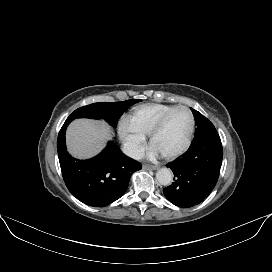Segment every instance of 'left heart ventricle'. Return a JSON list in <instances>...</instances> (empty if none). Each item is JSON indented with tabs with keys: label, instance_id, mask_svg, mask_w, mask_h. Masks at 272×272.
Segmentation results:
<instances>
[{
	"label": "left heart ventricle",
	"instance_id": "obj_1",
	"mask_svg": "<svg viewBox=\"0 0 272 272\" xmlns=\"http://www.w3.org/2000/svg\"><path fill=\"white\" fill-rule=\"evenodd\" d=\"M190 127V118L186 111L177 110L167 119L162 130L154 137L152 146L166 154L178 149L186 140Z\"/></svg>",
	"mask_w": 272,
	"mask_h": 272
}]
</instances>
